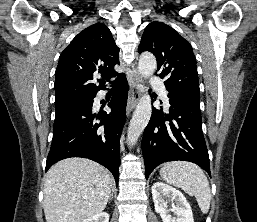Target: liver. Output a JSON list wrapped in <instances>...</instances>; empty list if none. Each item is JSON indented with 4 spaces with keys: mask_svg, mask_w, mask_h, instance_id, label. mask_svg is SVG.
I'll use <instances>...</instances> for the list:
<instances>
[{
    "mask_svg": "<svg viewBox=\"0 0 257 222\" xmlns=\"http://www.w3.org/2000/svg\"><path fill=\"white\" fill-rule=\"evenodd\" d=\"M112 188L110 173L98 163L77 157L59 161L44 179L46 222H83L101 213Z\"/></svg>",
    "mask_w": 257,
    "mask_h": 222,
    "instance_id": "liver-1",
    "label": "liver"
}]
</instances>
